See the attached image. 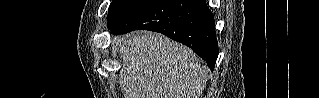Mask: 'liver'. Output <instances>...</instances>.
<instances>
[{
	"label": "liver",
	"instance_id": "1",
	"mask_svg": "<svg viewBox=\"0 0 319 98\" xmlns=\"http://www.w3.org/2000/svg\"><path fill=\"white\" fill-rule=\"evenodd\" d=\"M125 98H200L206 67L188 47L153 32L115 37Z\"/></svg>",
	"mask_w": 319,
	"mask_h": 98
}]
</instances>
